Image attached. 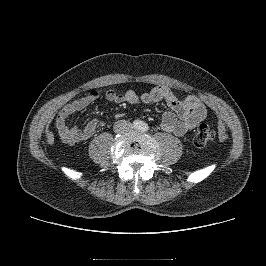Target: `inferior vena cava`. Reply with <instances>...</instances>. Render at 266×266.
<instances>
[{
  "instance_id": "obj_1",
  "label": "inferior vena cava",
  "mask_w": 266,
  "mask_h": 266,
  "mask_svg": "<svg viewBox=\"0 0 266 266\" xmlns=\"http://www.w3.org/2000/svg\"><path fill=\"white\" fill-rule=\"evenodd\" d=\"M131 128V123L126 120H119L115 123V132L123 133Z\"/></svg>"
}]
</instances>
